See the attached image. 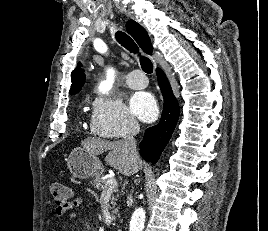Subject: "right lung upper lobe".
<instances>
[{
  "instance_id": "cb5924a9",
  "label": "right lung upper lobe",
  "mask_w": 268,
  "mask_h": 231,
  "mask_svg": "<svg viewBox=\"0 0 268 231\" xmlns=\"http://www.w3.org/2000/svg\"><path fill=\"white\" fill-rule=\"evenodd\" d=\"M126 30L135 39V41L145 53H152L153 47L150 38L146 30L140 24H138L134 20H129L126 23ZM80 67L81 64L79 63L78 67L71 74V94L79 92L85 82V75Z\"/></svg>"
}]
</instances>
